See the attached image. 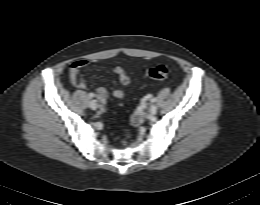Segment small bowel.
Here are the masks:
<instances>
[{"instance_id": "small-bowel-1", "label": "small bowel", "mask_w": 260, "mask_h": 205, "mask_svg": "<svg viewBox=\"0 0 260 205\" xmlns=\"http://www.w3.org/2000/svg\"><path fill=\"white\" fill-rule=\"evenodd\" d=\"M91 62L89 60L81 59L74 61L69 67V81L71 85L79 90H85L87 85L82 77V71L89 68L91 66ZM114 74L117 77L119 84H116L113 88V96L116 99H122L125 95L124 90L120 85L128 86L131 84V78L125 72V70L121 67H116L114 69ZM97 99L105 103L108 98V92L105 88L99 87L93 93Z\"/></svg>"}]
</instances>
